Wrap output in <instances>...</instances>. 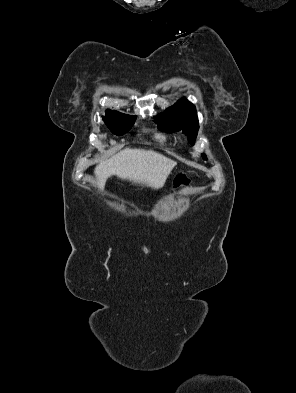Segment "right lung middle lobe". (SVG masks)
I'll return each mask as SVG.
<instances>
[{
    "instance_id": "obj_1",
    "label": "right lung middle lobe",
    "mask_w": 296,
    "mask_h": 393,
    "mask_svg": "<svg viewBox=\"0 0 296 393\" xmlns=\"http://www.w3.org/2000/svg\"><path fill=\"white\" fill-rule=\"evenodd\" d=\"M135 119V116L125 115L113 110H107L106 116L102 117L106 126L115 135L126 133L133 126Z\"/></svg>"
}]
</instances>
